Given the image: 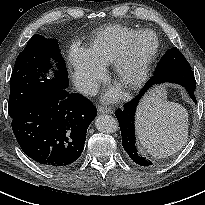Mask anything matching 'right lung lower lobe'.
Here are the masks:
<instances>
[{
    "label": "right lung lower lobe",
    "mask_w": 205,
    "mask_h": 205,
    "mask_svg": "<svg viewBox=\"0 0 205 205\" xmlns=\"http://www.w3.org/2000/svg\"><path fill=\"white\" fill-rule=\"evenodd\" d=\"M48 86L12 118L23 152L47 170H63L80 157L89 124L97 115L84 96Z\"/></svg>",
    "instance_id": "right-lung-lower-lobe-1"
}]
</instances>
